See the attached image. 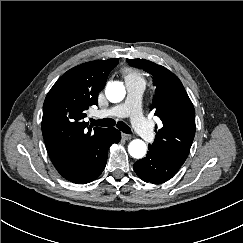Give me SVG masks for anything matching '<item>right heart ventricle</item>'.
<instances>
[{
    "mask_svg": "<svg viewBox=\"0 0 243 243\" xmlns=\"http://www.w3.org/2000/svg\"><path fill=\"white\" fill-rule=\"evenodd\" d=\"M122 72H123V76H124L126 82L140 81V82L144 83V78L139 71H137L131 67H125Z\"/></svg>",
    "mask_w": 243,
    "mask_h": 243,
    "instance_id": "1",
    "label": "right heart ventricle"
}]
</instances>
